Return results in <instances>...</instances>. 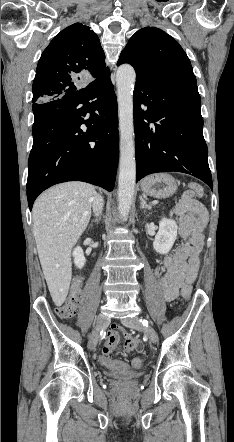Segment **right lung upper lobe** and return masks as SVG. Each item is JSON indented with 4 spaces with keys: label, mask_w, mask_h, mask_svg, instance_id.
I'll return each mask as SVG.
<instances>
[{
    "label": "right lung upper lobe",
    "mask_w": 234,
    "mask_h": 442,
    "mask_svg": "<svg viewBox=\"0 0 234 442\" xmlns=\"http://www.w3.org/2000/svg\"><path fill=\"white\" fill-rule=\"evenodd\" d=\"M98 36L89 27L75 23L50 42L42 53L34 78V103L72 97L85 88L79 81L110 75Z\"/></svg>",
    "instance_id": "cb5924a9"
}]
</instances>
